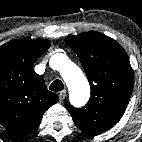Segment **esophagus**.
<instances>
[{
	"instance_id": "obj_1",
	"label": "esophagus",
	"mask_w": 142,
	"mask_h": 142,
	"mask_svg": "<svg viewBox=\"0 0 142 142\" xmlns=\"http://www.w3.org/2000/svg\"><path fill=\"white\" fill-rule=\"evenodd\" d=\"M65 97H66V90H63V91L59 92L60 102H63V100L65 99Z\"/></svg>"
}]
</instances>
